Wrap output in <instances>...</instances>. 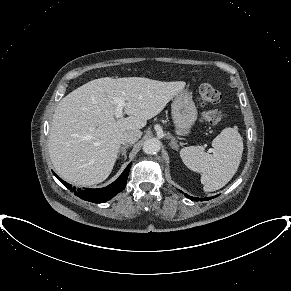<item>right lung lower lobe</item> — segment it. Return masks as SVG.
Segmentation results:
<instances>
[{
  "instance_id": "98d812e1",
  "label": "right lung lower lobe",
  "mask_w": 291,
  "mask_h": 291,
  "mask_svg": "<svg viewBox=\"0 0 291 291\" xmlns=\"http://www.w3.org/2000/svg\"><path fill=\"white\" fill-rule=\"evenodd\" d=\"M131 167V163L125 168L123 173L115 180L113 183L108 185L107 187L100 189H81L72 187V185L60 179L54 172L53 174L69 189L71 192L83 200L94 202V203H103L111 198H113L116 194L124 190L127 182V177L129 174V170Z\"/></svg>"
}]
</instances>
